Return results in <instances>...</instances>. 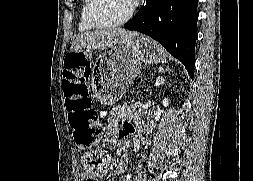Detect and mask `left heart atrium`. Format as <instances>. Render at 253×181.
<instances>
[{
  "label": "left heart atrium",
  "mask_w": 253,
  "mask_h": 181,
  "mask_svg": "<svg viewBox=\"0 0 253 181\" xmlns=\"http://www.w3.org/2000/svg\"><path fill=\"white\" fill-rule=\"evenodd\" d=\"M130 1H131V4H132L133 6H135V5L138 3L139 0H130Z\"/></svg>",
  "instance_id": "39dd6f15"
}]
</instances>
